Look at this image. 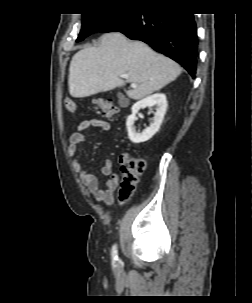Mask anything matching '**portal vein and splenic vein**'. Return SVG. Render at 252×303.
Returning a JSON list of instances; mask_svg holds the SVG:
<instances>
[{
	"label": "portal vein and splenic vein",
	"mask_w": 252,
	"mask_h": 303,
	"mask_svg": "<svg viewBox=\"0 0 252 303\" xmlns=\"http://www.w3.org/2000/svg\"><path fill=\"white\" fill-rule=\"evenodd\" d=\"M121 77H122V78H125V79H128V75H126V74H125V75H121ZM131 86H132L133 88L137 87L136 84H132Z\"/></svg>",
	"instance_id": "portal-vein-and-splenic-vein-1"
}]
</instances>
